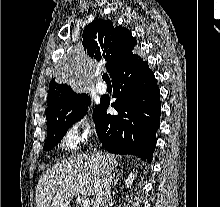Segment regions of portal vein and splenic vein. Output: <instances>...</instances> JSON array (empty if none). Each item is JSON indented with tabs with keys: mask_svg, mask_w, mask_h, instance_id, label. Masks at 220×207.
<instances>
[{
	"mask_svg": "<svg viewBox=\"0 0 220 207\" xmlns=\"http://www.w3.org/2000/svg\"><path fill=\"white\" fill-rule=\"evenodd\" d=\"M80 206L81 207H90V200L88 198L81 199Z\"/></svg>",
	"mask_w": 220,
	"mask_h": 207,
	"instance_id": "portal-vein-and-splenic-vein-1",
	"label": "portal vein and splenic vein"
}]
</instances>
